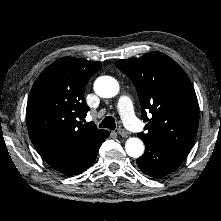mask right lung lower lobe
Instances as JSON below:
<instances>
[{
  "instance_id": "98d812e1",
  "label": "right lung lower lobe",
  "mask_w": 221,
  "mask_h": 221,
  "mask_svg": "<svg viewBox=\"0 0 221 221\" xmlns=\"http://www.w3.org/2000/svg\"><path fill=\"white\" fill-rule=\"evenodd\" d=\"M108 136L109 132H106L84 143L64 146L41 155L60 173L68 176L78 175L94 163L102 142Z\"/></svg>"
}]
</instances>
